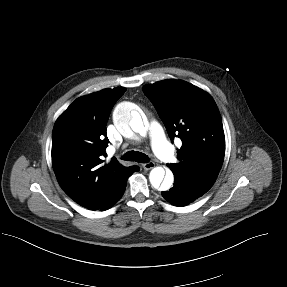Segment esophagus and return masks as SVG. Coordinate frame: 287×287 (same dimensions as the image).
Instances as JSON below:
<instances>
[{
    "label": "esophagus",
    "mask_w": 287,
    "mask_h": 287,
    "mask_svg": "<svg viewBox=\"0 0 287 287\" xmlns=\"http://www.w3.org/2000/svg\"><path fill=\"white\" fill-rule=\"evenodd\" d=\"M142 167L144 170H150L153 169L155 167V163L154 162H147L142 164Z\"/></svg>",
    "instance_id": "esophagus-1"
}]
</instances>
